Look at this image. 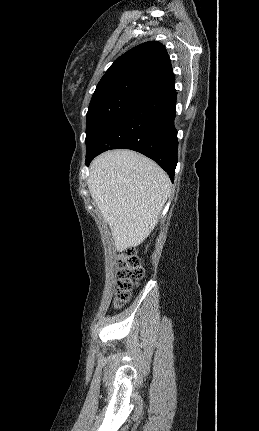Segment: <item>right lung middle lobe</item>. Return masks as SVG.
<instances>
[{
	"label": "right lung middle lobe",
	"mask_w": 259,
	"mask_h": 431,
	"mask_svg": "<svg viewBox=\"0 0 259 431\" xmlns=\"http://www.w3.org/2000/svg\"><path fill=\"white\" fill-rule=\"evenodd\" d=\"M150 90L141 82L129 81L95 92L86 118V153L124 111Z\"/></svg>",
	"instance_id": "obj_1"
}]
</instances>
